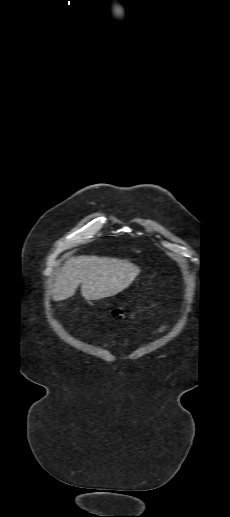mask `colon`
Here are the masks:
<instances>
[{"mask_svg":"<svg viewBox=\"0 0 230 517\" xmlns=\"http://www.w3.org/2000/svg\"><path fill=\"white\" fill-rule=\"evenodd\" d=\"M112 315L117 319H122L126 316V313L121 307H115L112 311Z\"/></svg>","mask_w":230,"mask_h":517,"instance_id":"5ec220e1","label":"colon"}]
</instances>
